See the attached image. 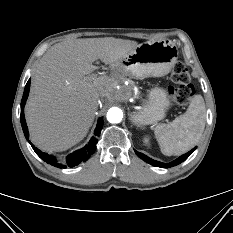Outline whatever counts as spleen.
Returning a JSON list of instances; mask_svg holds the SVG:
<instances>
[{
  "label": "spleen",
  "instance_id": "spleen-1",
  "mask_svg": "<svg viewBox=\"0 0 233 233\" xmlns=\"http://www.w3.org/2000/svg\"><path fill=\"white\" fill-rule=\"evenodd\" d=\"M206 109L201 95L191 99L187 111L171 123L159 124L154 134L164 155H180L192 149L205 128Z\"/></svg>",
  "mask_w": 233,
  "mask_h": 233
}]
</instances>
